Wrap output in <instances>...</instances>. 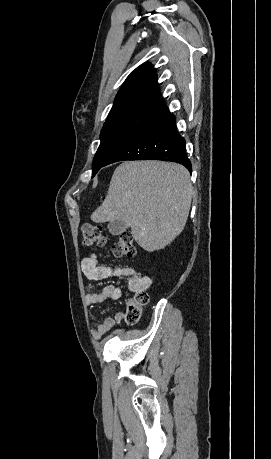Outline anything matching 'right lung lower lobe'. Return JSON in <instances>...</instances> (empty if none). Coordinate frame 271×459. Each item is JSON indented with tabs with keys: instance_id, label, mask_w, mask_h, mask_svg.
<instances>
[{
	"instance_id": "right-lung-lower-lobe-1",
	"label": "right lung lower lobe",
	"mask_w": 271,
	"mask_h": 459,
	"mask_svg": "<svg viewBox=\"0 0 271 459\" xmlns=\"http://www.w3.org/2000/svg\"><path fill=\"white\" fill-rule=\"evenodd\" d=\"M162 160L184 165L190 172L185 140L177 132L176 119L169 110L132 135L106 162L105 166L122 160Z\"/></svg>"
}]
</instances>
